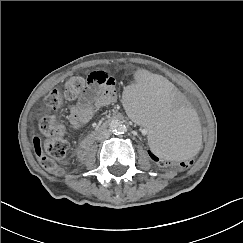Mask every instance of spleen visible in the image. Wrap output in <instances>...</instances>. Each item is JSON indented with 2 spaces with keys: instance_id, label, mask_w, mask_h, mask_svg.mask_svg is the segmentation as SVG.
Wrapping results in <instances>:
<instances>
[{
  "instance_id": "spleen-1",
  "label": "spleen",
  "mask_w": 243,
  "mask_h": 243,
  "mask_svg": "<svg viewBox=\"0 0 243 243\" xmlns=\"http://www.w3.org/2000/svg\"><path fill=\"white\" fill-rule=\"evenodd\" d=\"M124 107L133 120L147 124V147L161 159L188 161L198 152L201 139L191 104L167 77L149 74L134 80Z\"/></svg>"
}]
</instances>
